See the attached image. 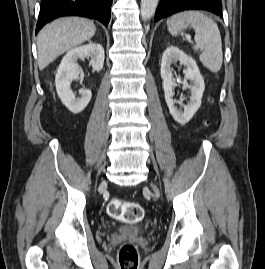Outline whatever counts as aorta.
Instances as JSON below:
<instances>
[{
  "label": "aorta",
  "instance_id": "762f6f07",
  "mask_svg": "<svg viewBox=\"0 0 265 269\" xmlns=\"http://www.w3.org/2000/svg\"><path fill=\"white\" fill-rule=\"evenodd\" d=\"M159 0H141V18L149 20L154 15Z\"/></svg>",
  "mask_w": 265,
  "mask_h": 269
}]
</instances>
